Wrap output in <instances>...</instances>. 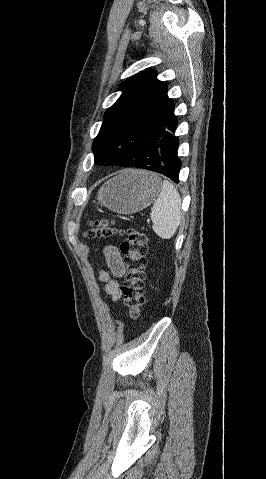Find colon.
Returning a JSON list of instances; mask_svg holds the SVG:
<instances>
[{"instance_id": "1", "label": "colon", "mask_w": 266, "mask_h": 479, "mask_svg": "<svg viewBox=\"0 0 266 479\" xmlns=\"http://www.w3.org/2000/svg\"><path fill=\"white\" fill-rule=\"evenodd\" d=\"M85 235L89 238L111 237L118 233H125L126 238L121 244L124 255L126 277L121 287L124 306L132 318H137L145 303V270L147 254V235L143 230L129 228L121 231L114 223L107 219H97L90 222Z\"/></svg>"}]
</instances>
